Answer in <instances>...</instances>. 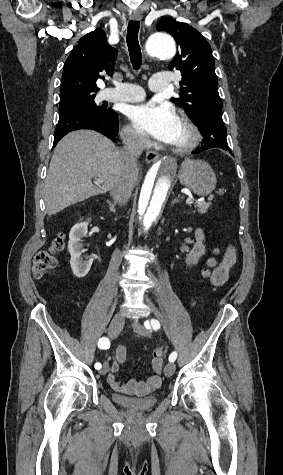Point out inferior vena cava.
<instances>
[{
	"mask_svg": "<svg viewBox=\"0 0 283 475\" xmlns=\"http://www.w3.org/2000/svg\"><path fill=\"white\" fill-rule=\"evenodd\" d=\"M146 142H148L146 132H128L124 140V148L120 152L121 166L110 192L115 202H119V204H126L132 194L134 180L138 174L137 160L140 158Z\"/></svg>",
	"mask_w": 283,
	"mask_h": 475,
	"instance_id": "602c4592",
	"label": "inferior vena cava"
}]
</instances>
